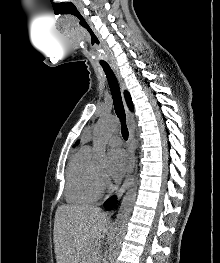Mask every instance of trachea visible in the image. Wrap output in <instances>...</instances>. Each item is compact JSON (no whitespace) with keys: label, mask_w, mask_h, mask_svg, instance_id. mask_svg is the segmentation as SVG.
<instances>
[{"label":"trachea","mask_w":220,"mask_h":263,"mask_svg":"<svg viewBox=\"0 0 220 263\" xmlns=\"http://www.w3.org/2000/svg\"><path fill=\"white\" fill-rule=\"evenodd\" d=\"M102 67L108 79V84L110 87L116 115L118 116L121 122L122 136L125 140H127L129 134H128V129H127L126 122H125L126 120L125 111H124V107L122 103L119 84L110 66L107 64H103Z\"/></svg>","instance_id":"3493384b"}]
</instances>
